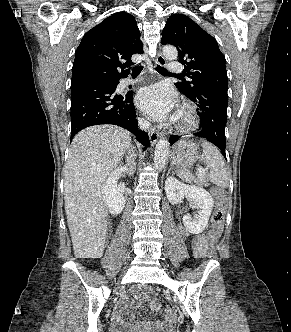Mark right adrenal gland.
<instances>
[{
  "label": "right adrenal gland",
  "instance_id": "2a0ac1e0",
  "mask_svg": "<svg viewBox=\"0 0 291 332\" xmlns=\"http://www.w3.org/2000/svg\"><path fill=\"white\" fill-rule=\"evenodd\" d=\"M128 158L132 162V168H131V173L130 174H133L135 169H136V163H135V160H134V148H132L131 145L129 146V150H128Z\"/></svg>",
  "mask_w": 291,
  "mask_h": 332
}]
</instances>
